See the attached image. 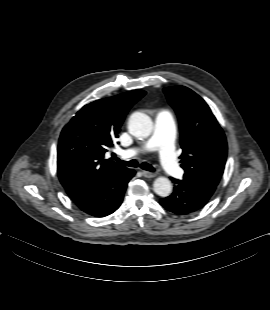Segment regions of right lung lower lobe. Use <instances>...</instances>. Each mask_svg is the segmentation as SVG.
Listing matches in <instances>:
<instances>
[{
	"mask_svg": "<svg viewBox=\"0 0 270 310\" xmlns=\"http://www.w3.org/2000/svg\"><path fill=\"white\" fill-rule=\"evenodd\" d=\"M134 175V170L125 167L96 181L65 189L83 212L95 217H105L119 208L127 184Z\"/></svg>",
	"mask_w": 270,
	"mask_h": 310,
	"instance_id": "right-lung-lower-lobe-1",
	"label": "right lung lower lobe"
}]
</instances>
